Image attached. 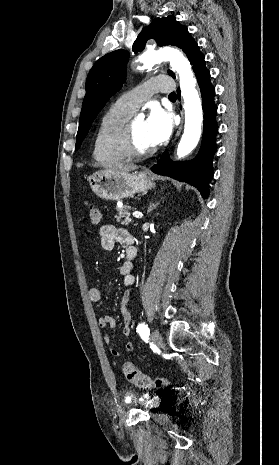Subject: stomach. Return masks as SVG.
Returning a JSON list of instances; mask_svg holds the SVG:
<instances>
[{
	"label": "stomach",
	"instance_id": "obj_1",
	"mask_svg": "<svg viewBox=\"0 0 279 465\" xmlns=\"http://www.w3.org/2000/svg\"><path fill=\"white\" fill-rule=\"evenodd\" d=\"M88 182L98 197L113 201L134 197L155 187L151 177L144 172L97 171L88 178Z\"/></svg>",
	"mask_w": 279,
	"mask_h": 465
}]
</instances>
